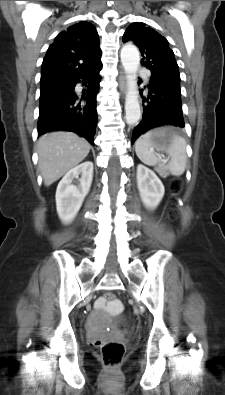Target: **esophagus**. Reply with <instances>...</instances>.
<instances>
[{"label": "esophagus", "instance_id": "1", "mask_svg": "<svg viewBox=\"0 0 225 395\" xmlns=\"http://www.w3.org/2000/svg\"><path fill=\"white\" fill-rule=\"evenodd\" d=\"M119 86H120V90L122 92H125L126 90V78L123 72H121L120 76H119Z\"/></svg>", "mask_w": 225, "mask_h": 395}]
</instances>
